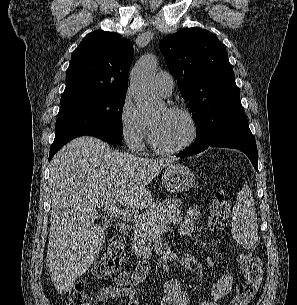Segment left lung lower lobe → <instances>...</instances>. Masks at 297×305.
Here are the masks:
<instances>
[{
    "label": "left lung lower lobe",
    "instance_id": "1",
    "mask_svg": "<svg viewBox=\"0 0 297 305\" xmlns=\"http://www.w3.org/2000/svg\"><path fill=\"white\" fill-rule=\"evenodd\" d=\"M208 147L235 148L244 152L258 171V152L246 116H241L222 127L214 137H204L177 156L187 157L198 154Z\"/></svg>",
    "mask_w": 297,
    "mask_h": 305
}]
</instances>
